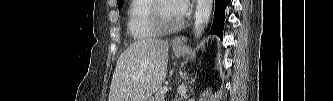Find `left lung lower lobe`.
Returning <instances> with one entry per match:
<instances>
[{
    "label": "left lung lower lobe",
    "instance_id": "left-lung-lower-lobe-1",
    "mask_svg": "<svg viewBox=\"0 0 333 101\" xmlns=\"http://www.w3.org/2000/svg\"><path fill=\"white\" fill-rule=\"evenodd\" d=\"M230 0H215L214 21L211 32L218 35L221 39L223 36V23L225 20V8Z\"/></svg>",
    "mask_w": 333,
    "mask_h": 101
}]
</instances>
